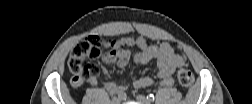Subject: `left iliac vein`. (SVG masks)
<instances>
[{"label": "left iliac vein", "instance_id": "4c4485c4", "mask_svg": "<svg viewBox=\"0 0 252 104\" xmlns=\"http://www.w3.org/2000/svg\"><path fill=\"white\" fill-rule=\"evenodd\" d=\"M136 99H137V101H139V102L142 103V104H147V103H148V100H147L146 97L143 96V95H137V96H136Z\"/></svg>", "mask_w": 252, "mask_h": 104}]
</instances>
